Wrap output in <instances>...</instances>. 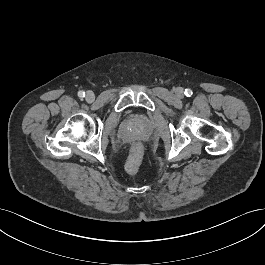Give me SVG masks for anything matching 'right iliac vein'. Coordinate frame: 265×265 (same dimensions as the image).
Wrapping results in <instances>:
<instances>
[{"label": "right iliac vein", "mask_w": 265, "mask_h": 265, "mask_svg": "<svg viewBox=\"0 0 265 265\" xmlns=\"http://www.w3.org/2000/svg\"><path fill=\"white\" fill-rule=\"evenodd\" d=\"M94 99H95V96H94L93 92L88 91L86 93V101L89 102V103H91V102L94 101Z\"/></svg>", "instance_id": "63e3f726"}]
</instances>
